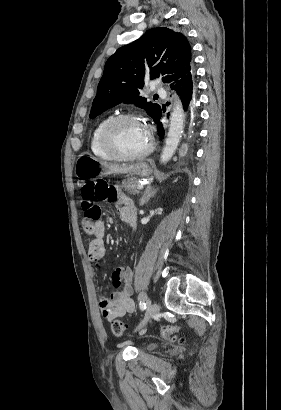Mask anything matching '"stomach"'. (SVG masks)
<instances>
[{"mask_svg":"<svg viewBox=\"0 0 281 410\" xmlns=\"http://www.w3.org/2000/svg\"><path fill=\"white\" fill-rule=\"evenodd\" d=\"M74 173L77 178L84 181L89 178L112 174H131L147 177L152 173V169L149 164L144 161L130 165H114L92 155L81 154L75 162Z\"/></svg>","mask_w":281,"mask_h":410,"instance_id":"stomach-1","label":"stomach"}]
</instances>
